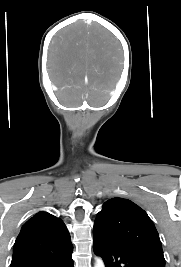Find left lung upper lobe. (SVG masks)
Listing matches in <instances>:
<instances>
[{
	"label": "left lung upper lobe",
	"mask_w": 181,
	"mask_h": 267,
	"mask_svg": "<svg viewBox=\"0 0 181 267\" xmlns=\"http://www.w3.org/2000/svg\"><path fill=\"white\" fill-rule=\"evenodd\" d=\"M93 235L105 236L165 265L158 232L138 205L128 199L112 198L97 214Z\"/></svg>",
	"instance_id": "left-lung-upper-lobe-1"
}]
</instances>
